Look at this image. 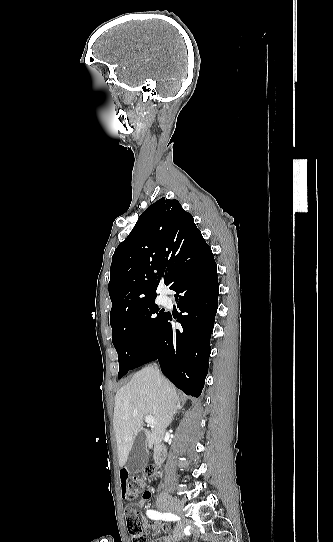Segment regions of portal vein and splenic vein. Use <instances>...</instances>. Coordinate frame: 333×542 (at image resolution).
<instances>
[{"label": "portal vein and splenic vein", "instance_id": "1", "mask_svg": "<svg viewBox=\"0 0 333 542\" xmlns=\"http://www.w3.org/2000/svg\"><path fill=\"white\" fill-rule=\"evenodd\" d=\"M145 422L146 424H149V426H154L155 418H153V416H146Z\"/></svg>", "mask_w": 333, "mask_h": 542}]
</instances>
